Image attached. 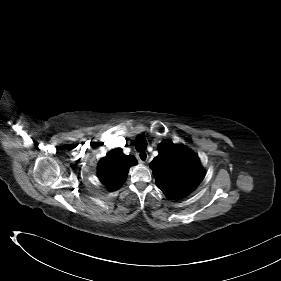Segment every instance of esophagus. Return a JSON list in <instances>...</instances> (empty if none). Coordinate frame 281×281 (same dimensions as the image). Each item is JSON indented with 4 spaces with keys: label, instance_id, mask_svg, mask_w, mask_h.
Here are the masks:
<instances>
[{
    "label": "esophagus",
    "instance_id": "esophagus-1",
    "mask_svg": "<svg viewBox=\"0 0 281 281\" xmlns=\"http://www.w3.org/2000/svg\"><path fill=\"white\" fill-rule=\"evenodd\" d=\"M137 158H138V160H139L140 163H145V162H147V160H148V158H149V155H148L147 152L142 151V152H139V153L137 154Z\"/></svg>",
    "mask_w": 281,
    "mask_h": 281
}]
</instances>
